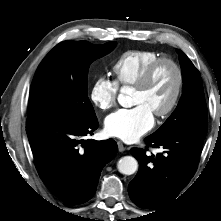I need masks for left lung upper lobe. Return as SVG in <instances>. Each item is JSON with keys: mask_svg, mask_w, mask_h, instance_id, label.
Listing matches in <instances>:
<instances>
[{"mask_svg": "<svg viewBox=\"0 0 221 221\" xmlns=\"http://www.w3.org/2000/svg\"><path fill=\"white\" fill-rule=\"evenodd\" d=\"M184 86L179 104L165 123L156 130L154 137L175 134H193L205 137L207 132V107L200 73L190 59L180 50Z\"/></svg>", "mask_w": 221, "mask_h": 221, "instance_id": "1", "label": "left lung upper lobe"}]
</instances>
